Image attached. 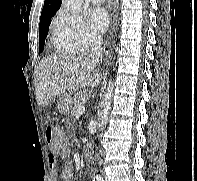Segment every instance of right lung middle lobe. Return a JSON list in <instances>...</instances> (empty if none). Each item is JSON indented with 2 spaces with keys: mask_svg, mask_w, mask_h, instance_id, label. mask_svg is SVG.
I'll list each match as a JSON object with an SVG mask.
<instances>
[{
  "mask_svg": "<svg viewBox=\"0 0 197 181\" xmlns=\"http://www.w3.org/2000/svg\"><path fill=\"white\" fill-rule=\"evenodd\" d=\"M54 16V14H49L45 16H41L40 18V24H39V53L43 51L44 49V42L46 39V36L48 34L49 25L51 23V18Z\"/></svg>",
  "mask_w": 197,
  "mask_h": 181,
  "instance_id": "dd1d6c3e",
  "label": "right lung middle lobe"
}]
</instances>
